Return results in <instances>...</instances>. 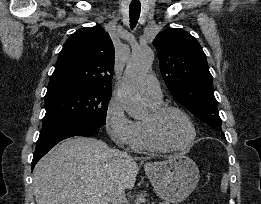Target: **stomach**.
Returning <instances> with one entry per match:
<instances>
[{
    "label": "stomach",
    "instance_id": "stomach-1",
    "mask_svg": "<svg viewBox=\"0 0 261 204\" xmlns=\"http://www.w3.org/2000/svg\"><path fill=\"white\" fill-rule=\"evenodd\" d=\"M155 192L166 204H179L195 189L199 169L195 162L183 154L144 166Z\"/></svg>",
    "mask_w": 261,
    "mask_h": 204
}]
</instances>
